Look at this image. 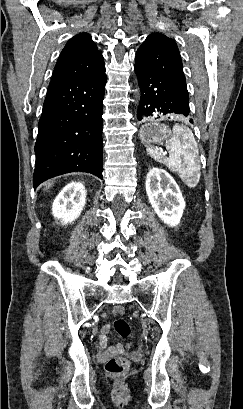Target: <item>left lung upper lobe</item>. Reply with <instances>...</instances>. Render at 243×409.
Masks as SVG:
<instances>
[{
    "label": "left lung upper lobe",
    "mask_w": 243,
    "mask_h": 409,
    "mask_svg": "<svg viewBox=\"0 0 243 409\" xmlns=\"http://www.w3.org/2000/svg\"><path fill=\"white\" fill-rule=\"evenodd\" d=\"M135 65L186 83L176 42L160 33L150 34L136 52Z\"/></svg>",
    "instance_id": "left-lung-upper-lobe-1"
}]
</instances>
